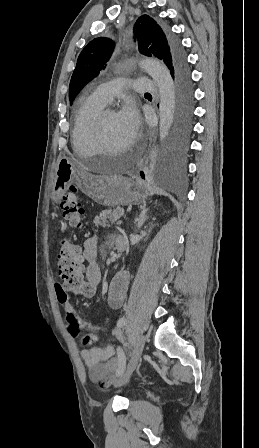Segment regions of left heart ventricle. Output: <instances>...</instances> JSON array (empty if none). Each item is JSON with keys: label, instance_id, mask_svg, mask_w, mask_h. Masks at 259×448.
<instances>
[{"label": "left heart ventricle", "instance_id": "b2bd125f", "mask_svg": "<svg viewBox=\"0 0 259 448\" xmlns=\"http://www.w3.org/2000/svg\"><path fill=\"white\" fill-rule=\"evenodd\" d=\"M105 133L109 145L117 153L121 150L126 149L131 144V137L127 130L120 123L117 114H109L105 120ZM78 154L85 161L88 157L92 156H102L101 151L96 148L95 150H80Z\"/></svg>", "mask_w": 259, "mask_h": 448}]
</instances>
